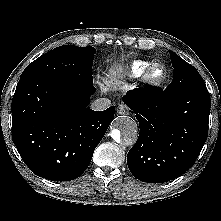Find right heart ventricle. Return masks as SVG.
Here are the masks:
<instances>
[{"label": "right heart ventricle", "instance_id": "right-heart-ventricle-1", "mask_svg": "<svg viewBox=\"0 0 221 221\" xmlns=\"http://www.w3.org/2000/svg\"><path fill=\"white\" fill-rule=\"evenodd\" d=\"M151 64L152 62L147 60H134L125 67V73L131 78H138Z\"/></svg>", "mask_w": 221, "mask_h": 221}]
</instances>
